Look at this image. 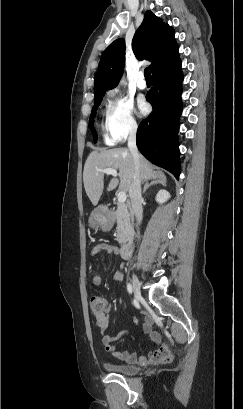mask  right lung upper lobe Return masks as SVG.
Instances as JSON below:
<instances>
[{"label":"right lung upper lobe","mask_w":243,"mask_h":409,"mask_svg":"<svg viewBox=\"0 0 243 409\" xmlns=\"http://www.w3.org/2000/svg\"><path fill=\"white\" fill-rule=\"evenodd\" d=\"M176 48L174 30L151 11H146L144 20L132 40V49L137 59L151 61L153 72ZM124 65L125 42L123 39H117L101 56L95 75V100L102 98L106 90L118 85Z\"/></svg>","instance_id":"cb5924a9"}]
</instances>
